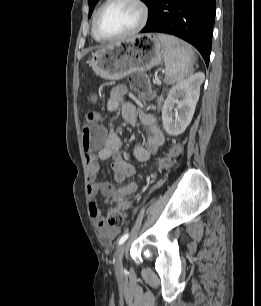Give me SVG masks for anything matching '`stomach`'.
I'll return each mask as SVG.
<instances>
[{"mask_svg":"<svg viewBox=\"0 0 261 306\" xmlns=\"http://www.w3.org/2000/svg\"><path fill=\"white\" fill-rule=\"evenodd\" d=\"M163 59V46L153 33L138 34L92 53L89 66L99 77L120 80L131 73L146 72Z\"/></svg>","mask_w":261,"mask_h":306,"instance_id":"obj_1","label":"stomach"}]
</instances>
